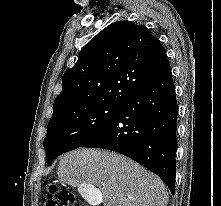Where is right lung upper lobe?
Masks as SVG:
<instances>
[{"instance_id":"cb5924a9","label":"right lung upper lobe","mask_w":221,"mask_h":206,"mask_svg":"<svg viewBox=\"0 0 221 206\" xmlns=\"http://www.w3.org/2000/svg\"><path fill=\"white\" fill-rule=\"evenodd\" d=\"M169 67L160 41L146 27L130 21L112 23L64 73L53 114L93 103L121 105Z\"/></svg>"}]
</instances>
